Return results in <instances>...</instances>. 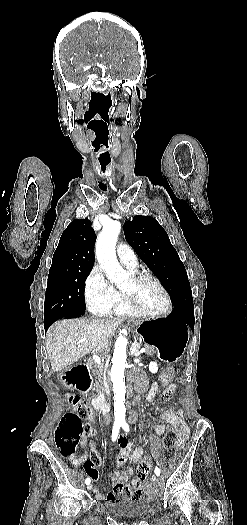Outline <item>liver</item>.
<instances>
[{"label":"liver","mask_w":247,"mask_h":525,"mask_svg":"<svg viewBox=\"0 0 247 525\" xmlns=\"http://www.w3.org/2000/svg\"><path fill=\"white\" fill-rule=\"evenodd\" d=\"M120 323L114 319H63L53 323L45 341L52 371H63L91 351H104Z\"/></svg>","instance_id":"6515ba94"}]
</instances>
